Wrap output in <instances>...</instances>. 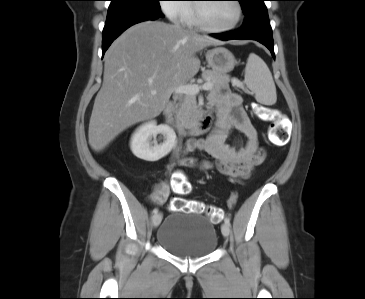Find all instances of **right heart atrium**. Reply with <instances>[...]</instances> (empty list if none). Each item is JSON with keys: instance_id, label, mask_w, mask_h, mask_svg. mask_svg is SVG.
Returning a JSON list of instances; mask_svg holds the SVG:
<instances>
[{"instance_id": "obj_1", "label": "right heart atrium", "mask_w": 365, "mask_h": 299, "mask_svg": "<svg viewBox=\"0 0 365 299\" xmlns=\"http://www.w3.org/2000/svg\"><path fill=\"white\" fill-rule=\"evenodd\" d=\"M160 5L163 13L173 22L183 21L188 9L187 5L178 0H161Z\"/></svg>"}]
</instances>
